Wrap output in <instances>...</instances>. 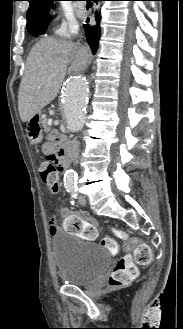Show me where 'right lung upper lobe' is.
<instances>
[{
  "mask_svg": "<svg viewBox=\"0 0 183 329\" xmlns=\"http://www.w3.org/2000/svg\"><path fill=\"white\" fill-rule=\"evenodd\" d=\"M30 3L27 11V28L31 29L34 25L41 22H49L48 8L53 1L57 0H27Z\"/></svg>",
  "mask_w": 183,
  "mask_h": 329,
  "instance_id": "obj_1",
  "label": "right lung upper lobe"
}]
</instances>
